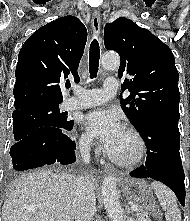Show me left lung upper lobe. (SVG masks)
I'll return each instance as SVG.
<instances>
[{"instance_id": "5c2ea615", "label": "left lung upper lobe", "mask_w": 190, "mask_h": 221, "mask_svg": "<svg viewBox=\"0 0 190 221\" xmlns=\"http://www.w3.org/2000/svg\"><path fill=\"white\" fill-rule=\"evenodd\" d=\"M106 49L119 53V78H125L122 90L131 94L121 107L130 122L139 130L150 118H180L179 74L171 49L149 30L121 17L108 23L104 30Z\"/></svg>"}]
</instances>
